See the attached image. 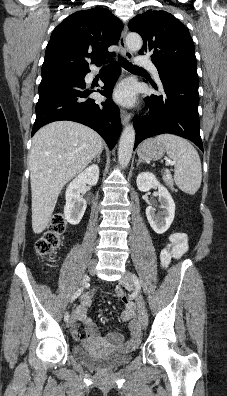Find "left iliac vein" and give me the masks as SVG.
<instances>
[{
  "label": "left iliac vein",
  "instance_id": "obj_1",
  "mask_svg": "<svg viewBox=\"0 0 227 396\" xmlns=\"http://www.w3.org/2000/svg\"><path fill=\"white\" fill-rule=\"evenodd\" d=\"M120 283L128 289H131L135 292L136 294V303L138 306V313H139V322L143 328H146L148 324V316H147V310L145 306L144 299L139 291V289L136 287V284L132 278V276L129 273H125L122 278L120 279Z\"/></svg>",
  "mask_w": 227,
  "mask_h": 396
}]
</instances>
